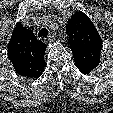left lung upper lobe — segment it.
<instances>
[{
  "instance_id": "obj_1",
  "label": "left lung upper lobe",
  "mask_w": 113,
  "mask_h": 113,
  "mask_svg": "<svg viewBox=\"0 0 113 113\" xmlns=\"http://www.w3.org/2000/svg\"><path fill=\"white\" fill-rule=\"evenodd\" d=\"M75 65L88 74L99 65L102 49L101 37L89 17L76 12L66 26Z\"/></svg>"
}]
</instances>
